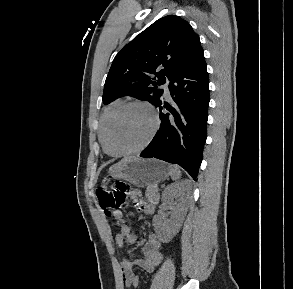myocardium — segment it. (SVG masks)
<instances>
[{
  "instance_id": "obj_1",
  "label": "myocardium",
  "mask_w": 293,
  "mask_h": 289,
  "mask_svg": "<svg viewBox=\"0 0 293 289\" xmlns=\"http://www.w3.org/2000/svg\"><path fill=\"white\" fill-rule=\"evenodd\" d=\"M134 105L143 106L146 109H148V111L150 112L152 117L151 131L148 137L146 138V140L140 146L130 150H125V151H113L109 143V135H110L112 125L114 121L116 120V118L120 115V113H122L126 108L134 106ZM159 127H160L159 115L156 109L150 103L143 100H131L128 102H124L114 111V113L111 115L110 119L108 120V123L105 128V133H104V151L106 154L112 157H122V156L138 153L142 151L143 149H145L153 141V139L155 138L159 130Z\"/></svg>"
}]
</instances>
